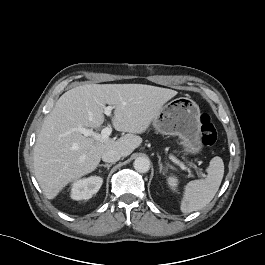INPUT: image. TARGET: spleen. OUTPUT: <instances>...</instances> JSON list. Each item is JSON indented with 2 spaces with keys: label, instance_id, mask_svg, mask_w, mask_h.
I'll return each mask as SVG.
<instances>
[{
  "label": "spleen",
  "instance_id": "1",
  "mask_svg": "<svg viewBox=\"0 0 265 265\" xmlns=\"http://www.w3.org/2000/svg\"><path fill=\"white\" fill-rule=\"evenodd\" d=\"M206 170L205 179L190 181L185 186L180 204L183 213L201 210L217 193L224 175L223 160L218 156L212 158Z\"/></svg>",
  "mask_w": 265,
  "mask_h": 265
}]
</instances>
